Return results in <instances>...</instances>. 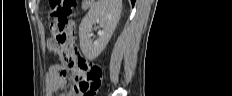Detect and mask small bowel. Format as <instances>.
I'll list each match as a JSON object with an SVG mask.
<instances>
[{
    "mask_svg": "<svg viewBox=\"0 0 232 96\" xmlns=\"http://www.w3.org/2000/svg\"><path fill=\"white\" fill-rule=\"evenodd\" d=\"M78 22H68L67 29L68 35H79L80 28L78 27ZM48 49L55 51L56 43L53 40L48 41ZM86 68H94V63H86ZM66 75L67 68L65 66H52L46 76V81L48 84L47 95L52 96L56 92L62 90L66 86ZM69 96H79V90L76 84L73 85L70 90Z\"/></svg>",
    "mask_w": 232,
    "mask_h": 96,
    "instance_id": "c3829d8e",
    "label": "small bowel"
}]
</instances>
